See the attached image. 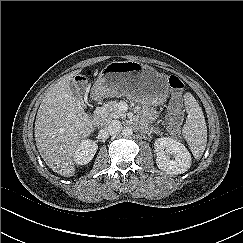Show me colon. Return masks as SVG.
<instances>
[{"mask_svg":"<svg viewBox=\"0 0 243 243\" xmlns=\"http://www.w3.org/2000/svg\"><path fill=\"white\" fill-rule=\"evenodd\" d=\"M169 85L173 92V97L170 102V112L167 116V130L170 135L177 137L180 135L184 118L183 111L181 110V93L184 88V83L179 77L170 76Z\"/></svg>","mask_w":243,"mask_h":243,"instance_id":"obj_1","label":"colon"}]
</instances>
